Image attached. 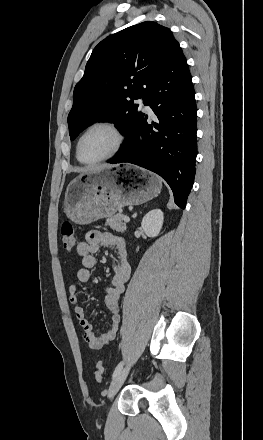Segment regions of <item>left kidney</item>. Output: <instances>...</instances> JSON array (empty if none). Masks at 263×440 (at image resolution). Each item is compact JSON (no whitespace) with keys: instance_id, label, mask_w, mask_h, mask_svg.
I'll return each instance as SVG.
<instances>
[{"instance_id":"obj_1","label":"left kidney","mask_w":263,"mask_h":440,"mask_svg":"<svg viewBox=\"0 0 263 440\" xmlns=\"http://www.w3.org/2000/svg\"><path fill=\"white\" fill-rule=\"evenodd\" d=\"M163 221V212L160 209H153L143 217L141 227L148 237H156L162 229Z\"/></svg>"}]
</instances>
